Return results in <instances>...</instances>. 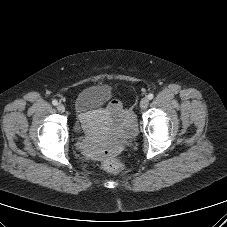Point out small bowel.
Segmentation results:
<instances>
[{
  "label": "small bowel",
  "mask_w": 227,
  "mask_h": 227,
  "mask_svg": "<svg viewBox=\"0 0 227 227\" xmlns=\"http://www.w3.org/2000/svg\"><path fill=\"white\" fill-rule=\"evenodd\" d=\"M106 115L116 125L124 124L129 127L133 126L134 118L131 110L125 108L118 100H112L106 106ZM84 150L88 156L97 160H101L107 153H112V151H103L100 148L99 142L96 140L86 142L84 144Z\"/></svg>",
  "instance_id": "obj_1"
}]
</instances>
